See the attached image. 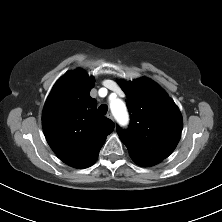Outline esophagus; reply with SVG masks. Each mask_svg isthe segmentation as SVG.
Here are the masks:
<instances>
[{
    "mask_svg": "<svg viewBox=\"0 0 222 222\" xmlns=\"http://www.w3.org/2000/svg\"><path fill=\"white\" fill-rule=\"evenodd\" d=\"M106 117L109 118V119H111V120H113V115H112V113H108V114L106 115Z\"/></svg>",
    "mask_w": 222,
    "mask_h": 222,
    "instance_id": "esophagus-1",
    "label": "esophagus"
}]
</instances>
